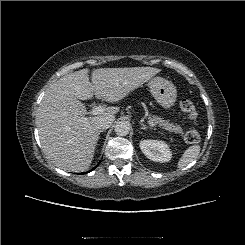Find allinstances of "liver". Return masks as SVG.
Listing matches in <instances>:
<instances>
[{"mask_svg":"<svg viewBox=\"0 0 245 245\" xmlns=\"http://www.w3.org/2000/svg\"><path fill=\"white\" fill-rule=\"evenodd\" d=\"M161 70L153 67L82 69L69 73L45 92L37 117L45 155L59 168L80 172L89 168L95 153L100 117L115 115L119 107H108L98 116H86L80 100L97 99L116 103L148 82Z\"/></svg>","mask_w":245,"mask_h":245,"instance_id":"1","label":"liver"}]
</instances>
